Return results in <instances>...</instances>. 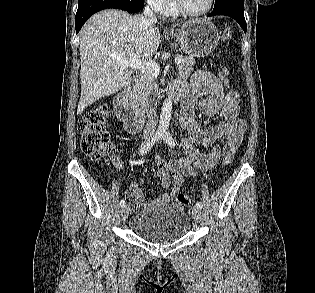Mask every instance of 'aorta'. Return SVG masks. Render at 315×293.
I'll use <instances>...</instances> for the list:
<instances>
[{"instance_id":"762f6f07","label":"aorta","mask_w":315,"mask_h":293,"mask_svg":"<svg viewBox=\"0 0 315 293\" xmlns=\"http://www.w3.org/2000/svg\"><path fill=\"white\" fill-rule=\"evenodd\" d=\"M171 113H172V100L170 98H167L162 106V111L160 115V121H159V130L160 131H167L171 119Z\"/></svg>"}]
</instances>
